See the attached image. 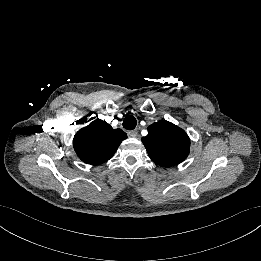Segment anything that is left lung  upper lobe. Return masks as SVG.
I'll return each mask as SVG.
<instances>
[{"instance_id":"left-lung-upper-lobe-1","label":"left lung upper lobe","mask_w":261,"mask_h":261,"mask_svg":"<svg viewBox=\"0 0 261 261\" xmlns=\"http://www.w3.org/2000/svg\"><path fill=\"white\" fill-rule=\"evenodd\" d=\"M141 140L151 160L163 167L181 163L190 151V139L185 131L166 120L150 125L148 135Z\"/></svg>"}]
</instances>
